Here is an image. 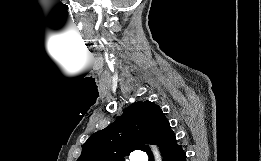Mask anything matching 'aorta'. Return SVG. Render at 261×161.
Wrapping results in <instances>:
<instances>
[{
    "instance_id": "1",
    "label": "aorta",
    "mask_w": 261,
    "mask_h": 161,
    "mask_svg": "<svg viewBox=\"0 0 261 161\" xmlns=\"http://www.w3.org/2000/svg\"><path fill=\"white\" fill-rule=\"evenodd\" d=\"M153 152L155 154L156 161H160V156L156 148H153Z\"/></svg>"
}]
</instances>
